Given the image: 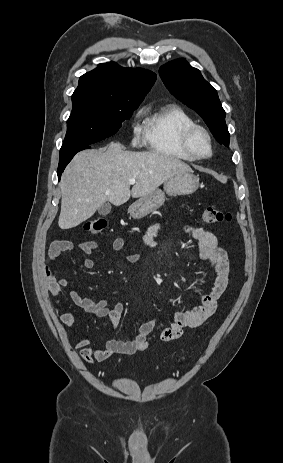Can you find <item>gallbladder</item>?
<instances>
[{
    "instance_id": "gallbladder-1",
    "label": "gallbladder",
    "mask_w": 283,
    "mask_h": 463,
    "mask_svg": "<svg viewBox=\"0 0 283 463\" xmlns=\"http://www.w3.org/2000/svg\"><path fill=\"white\" fill-rule=\"evenodd\" d=\"M110 211H111V204L109 202L104 203L98 208V212L101 215H107L110 213Z\"/></svg>"
}]
</instances>
